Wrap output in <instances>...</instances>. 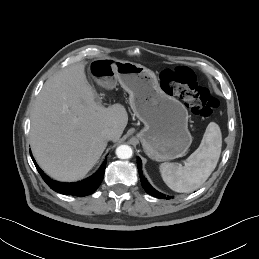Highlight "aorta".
Instances as JSON below:
<instances>
[{
    "label": "aorta",
    "mask_w": 259,
    "mask_h": 259,
    "mask_svg": "<svg viewBox=\"0 0 259 259\" xmlns=\"http://www.w3.org/2000/svg\"><path fill=\"white\" fill-rule=\"evenodd\" d=\"M133 151L128 145H120L116 148V155L120 159H129L132 157Z\"/></svg>",
    "instance_id": "obj_1"
}]
</instances>
